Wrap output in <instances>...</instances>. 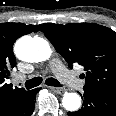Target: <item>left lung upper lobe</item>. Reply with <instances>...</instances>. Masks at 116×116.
<instances>
[{"mask_svg":"<svg viewBox=\"0 0 116 116\" xmlns=\"http://www.w3.org/2000/svg\"><path fill=\"white\" fill-rule=\"evenodd\" d=\"M41 31L70 68L84 67L85 88L116 92V32L93 23H46Z\"/></svg>","mask_w":116,"mask_h":116,"instance_id":"1","label":"left lung upper lobe"}]
</instances>
